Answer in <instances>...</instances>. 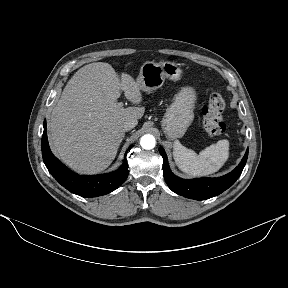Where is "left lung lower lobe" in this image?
<instances>
[{
    "instance_id": "obj_1",
    "label": "left lung lower lobe",
    "mask_w": 288,
    "mask_h": 288,
    "mask_svg": "<svg viewBox=\"0 0 288 288\" xmlns=\"http://www.w3.org/2000/svg\"><path fill=\"white\" fill-rule=\"evenodd\" d=\"M159 152L163 157V175L169 188L178 195L195 200H205L217 196L232 186L241 175L248 157V151H246L239 165L224 176L185 180L171 172L167 155L162 147L159 148Z\"/></svg>"
}]
</instances>
